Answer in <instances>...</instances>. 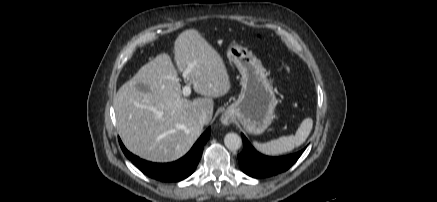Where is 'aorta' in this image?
<instances>
[{"label": "aorta", "mask_w": 437, "mask_h": 202, "mask_svg": "<svg viewBox=\"0 0 437 202\" xmlns=\"http://www.w3.org/2000/svg\"><path fill=\"white\" fill-rule=\"evenodd\" d=\"M224 144L229 150H238L242 146V140L236 133H228L224 138Z\"/></svg>", "instance_id": "1"}]
</instances>
